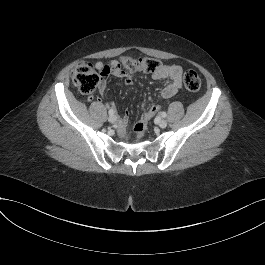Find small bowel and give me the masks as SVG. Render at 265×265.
<instances>
[{
	"label": "small bowel",
	"instance_id": "small-bowel-1",
	"mask_svg": "<svg viewBox=\"0 0 265 265\" xmlns=\"http://www.w3.org/2000/svg\"><path fill=\"white\" fill-rule=\"evenodd\" d=\"M96 69L100 72V81H99V93L104 96L107 93L108 89V78L110 75L115 77L123 78L124 82L127 85H132L134 80L133 76L125 73L119 62L111 61L110 63L97 62ZM182 73L183 70L181 66L177 64L162 65L159 70L152 74L153 79L155 80H169L170 83L165 86L160 95L162 98L168 99L175 96L180 89L182 88ZM94 100V96H89L88 101L91 102ZM106 106L109 110H112L113 113L117 111L116 105L113 102H107ZM129 121V114L125 113L122 117L118 118V126L124 128Z\"/></svg>",
	"mask_w": 265,
	"mask_h": 265
}]
</instances>
